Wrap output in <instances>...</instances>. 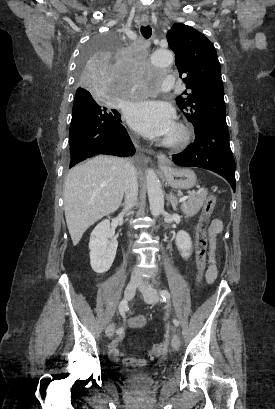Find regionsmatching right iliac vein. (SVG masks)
Here are the masks:
<instances>
[{
	"mask_svg": "<svg viewBox=\"0 0 275 409\" xmlns=\"http://www.w3.org/2000/svg\"><path fill=\"white\" fill-rule=\"evenodd\" d=\"M138 285L139 284L135 283V282H129L128 283V285H127V287L125 289V292H124V298H125L126 301L133 298ZM114 330H115V326H114L113 323L108 325V327L106 328V335L108 337H111L113 335V333H114Z\"/></svg>",
	"mask_w": 275,
	"mask_h": 409,
	"instance_id": "1",
	"label": "right iliac vein"
}]
</instances>
